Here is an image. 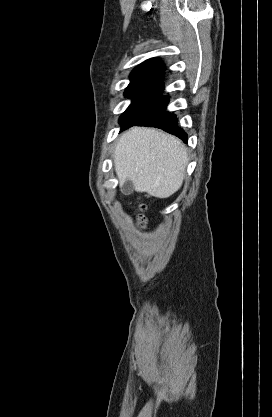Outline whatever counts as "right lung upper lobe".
Wrapping results in <instances>:
<instances>
[{
	"instance_id": "obj_1",
	"label": "right lung upper lobe",
	"mask_w": 272,
	"mask_h": 417,
	"mask_svg": "<svg viewBox=\"0 0 272 417\" xmlns=\"http://www.w3.org/2000/svg\"><path fill=\"white\" fill-rule=\"evenodd\" d=\"M164 64L153 58L137 66L130 75L127 91L163 89ZM126 91V92H127Z\"/></svg>"
}]
</instances>
